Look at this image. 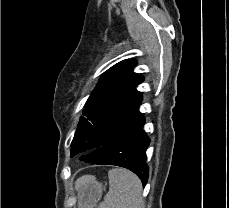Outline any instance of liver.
I'll return each instance as SVG.
<instances>
[{
  "mask_svg": "<svg viewBox=\"0 0 229 208\" xmlns=\"http://www.w3.org/2000/svg\"><path fill=\"white\" fill-rule=\"evenodd\" d=\"M94 176H82V178H78L77 182H75V188H79V186H83L87 180H91Z\"/></svg>",
  "mask_w": 229,
  "mask_h": 208,
  "instance_id": "1",
  "label": "liver"
}]
</instances>
